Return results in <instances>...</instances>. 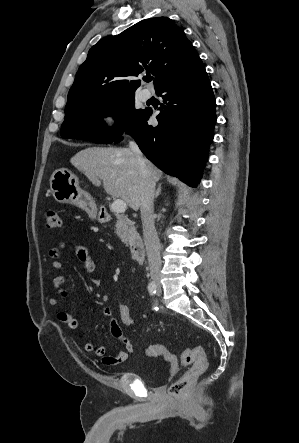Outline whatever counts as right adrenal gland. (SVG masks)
<instances>
[{
	"label": "right adrenal gland",
	"instance_id": "2a0ac1e0",
	"mask_svg": "<svg viewBox=\"0 0 299 443\" xmlns=\"http://www.w3.org/2000/svg\"><path fill=\"white\" fill-rule=\"evenodd\" d=\"M160 193H161V184H159V186L156 190L155 197L157 198L160 195Z\"/></svg>",
	"mask_w": 299,
	"mask_h": 443
}]
</instances>
